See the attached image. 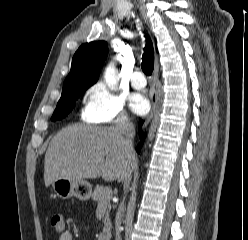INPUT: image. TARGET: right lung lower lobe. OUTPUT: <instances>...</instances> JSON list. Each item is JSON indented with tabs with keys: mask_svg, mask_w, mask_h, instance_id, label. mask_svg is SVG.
<instances>
[{
	"mask_svg": "<svg viewBox=\"0 0 248 240\" xmlns=\"http://www.w3.org/2000/svg\"><path fill=\"white\" fill-rule=\"evenodd\" d=\"M143 124V121L142 120H139V136H140V143L138 144V146L136 147V151L138 153H140V149L142 147V144L144 142V139H145V133H142L141 132V126Z\"/></svg>",
	"mask_w": 248,
	"mask_h": 240,
	"instance_id": "obj_1",
	"label": "right lung lower lobe"
}]
</instances>
